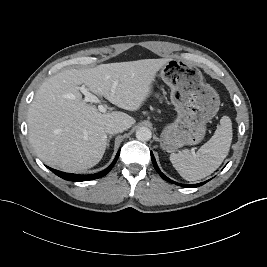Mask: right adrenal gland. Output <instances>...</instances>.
Listing matches in <instances>:
<instances>
[{
    "mask_svg": "<svg viewBox=\"0 0 267 267\" xmlns=\"http://www.w3.org/2000/svg\"><path fill=\"white\" fill-rule=\"evenodd\" d=\"M112 136L110 135L107 139V148L109 147V144H110V140H111Z\"/></svg>",
    "mask_w": 267,
    "mask_h": 267,
    "instance_id": "obj_1",
    "label": "right adrenal gland"
}]
</instances>
